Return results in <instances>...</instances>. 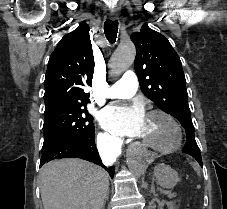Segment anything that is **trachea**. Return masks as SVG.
<instances>
[{"label": "trachea", "mask_w": 227, "mask_h": 209, "mask_svg": "<svg viewBox=\"0 0 227 209\" xmlns=\"http://www.w3.org/2000/svg\"><path fill=\"white\" fill-rule=\"evenodd\" d=\"M104 33L110 43H114L118 33V20H106L104 23Z\"/></svg>", "instance_id": "obj_1"}]
</instances>
